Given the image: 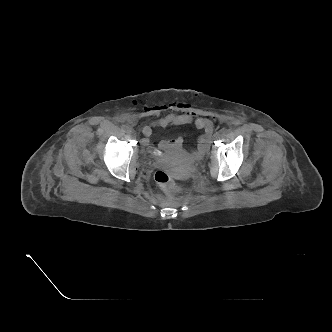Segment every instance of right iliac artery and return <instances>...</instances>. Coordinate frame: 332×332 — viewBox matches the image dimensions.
Returning <instances> with one entry per match:
<instances>
[{"instance_id":"obj_1","label":"right iliac artery","mask_w":332,"mask_h":332,"mask_svg":"<svg viewBox=\"0 0 332 332\" xmlns=\"http://www.w3.org/2000/svg\"><path fill=\"white\" fill-rule=\"evenodd\" d=\"M121 129H122V131H128L129 127L128 126H122Z\"/></svg>"}]
</instances>
